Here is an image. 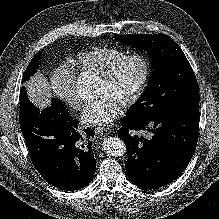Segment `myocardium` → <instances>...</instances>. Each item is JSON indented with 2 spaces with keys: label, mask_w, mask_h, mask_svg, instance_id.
Masks as SVG:
<instances>
[{
  "label": "myocardium",
  "mask_w": 219,
  "mask_h": 219,
  "mask_svg": "<svg viewBox=\"0 0 219 219\" xmlns=\"http://www.w3.org/2000/svg\"><path fill=\"white\" fill-rule=\"evenodd\" d=\"M130 60H138L142 64L143 73L140 83L134 94L122 105V108L124 109H129L135 106L142 98L148 87L152 72V66L148 57L142 53L126 54L99 76V79L103 82H110L121 69V67Z\"/></svg>",
  "instance_id": "obj_1"
}]
</instances>
